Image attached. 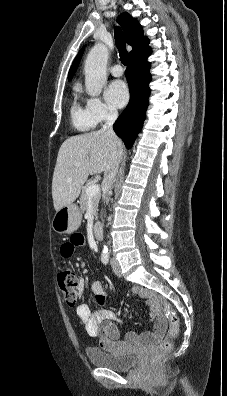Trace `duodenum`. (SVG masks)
<instances>
[{
	"label": "duodenum",
	"mask_w": 227,
	"mask_h": 396,
	"mask_svg": "<svg viewBox=\"0 0 227 396\" xmlns=\"http://www.w3.org/2000/svg\"><path fill=\"white\" fill-rule=\"evenodd\" d=\"M93 235L96 239H101L102 237V226L100 223H95L93 226Z\"/></svg>",
	"instance_id": "1"
}]
</instances>
